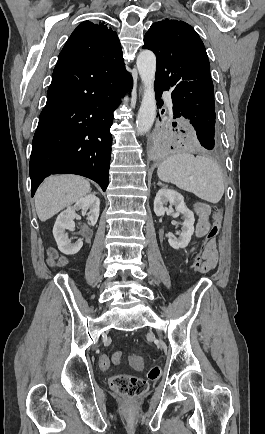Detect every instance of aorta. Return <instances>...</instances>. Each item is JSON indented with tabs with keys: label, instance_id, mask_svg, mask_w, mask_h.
<instances>
[{
	"label": "aorta",
	"instance_id": "obj_1",
	"mask_svg": "<svg viewBox=\"0 0 265 434\" xmlns=\"http://www.w3.org/2000/svg\"><path fill=\"white\" fill-rule=\"evenodd\" d=\"M137 70L143 84V98L136 120V132L138 136H144L149 132L156 118V100L154 92V80L156 72V56L150 50H143L137 56Z\"/></svg>",
	"mask_w": 265,
	"mask_h": 434
}]
</instances>
